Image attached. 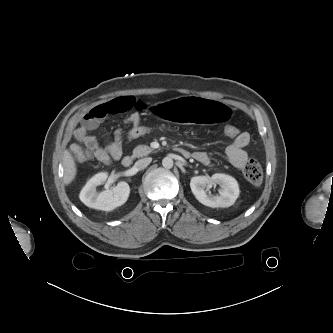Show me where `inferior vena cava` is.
Wrapping results in <instances>:
<instances>
[{"label": "inferior vena cava", "mask_w": 333, "mask_h": 333, "mask_svg": "<svg viewBox=\"0 0 333 333\" xmlns=\"http://www.w3.org/2000/svg\"><path fill=\"white\" fill-rule=\"evenodd\" d=\"M151 161H152V158H150V157L140 159V160L136 161L135 167L139 170H143L150 164Z\"/></svg>", "instance_id": "1"}]
</instances>
